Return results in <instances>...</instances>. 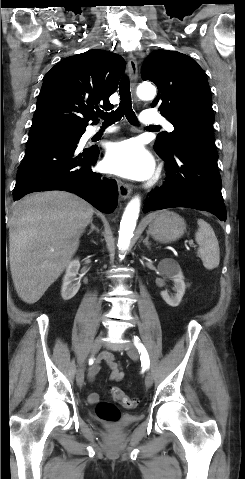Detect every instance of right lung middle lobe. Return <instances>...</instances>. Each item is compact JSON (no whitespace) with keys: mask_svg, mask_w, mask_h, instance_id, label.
I'll return each instance as SVG.
<instances>
[{"mask_svg":"<svg viewBox=\"0 0 245 479\" xmlns=\"http://www.w3.org/2000/svg\"><path fill=\"white\" fill-rule=\"evenodd\" d=\"M84 132L83 129H69L62 127L47 128L41 130H33L29 132L27 147L36 145L45 140L61 137V136H80Z\"/></svg>","mask_w":245,"mask_h":479,"instance_id":"dd1d6c3e","label":"right lung middle lobe"}]
</instances>
